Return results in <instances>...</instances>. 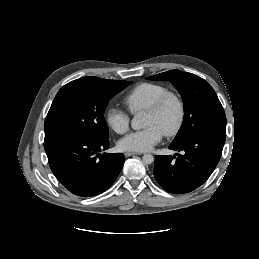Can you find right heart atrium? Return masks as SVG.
Instances as JSON below:
<instances>
[{
	"label": "right heart atrium",
	"mask_w": 259,
	"mask_h": 259,
	"mask_svg": "<svg viewBox=\"0 0 259 259\" xmlns=\"http://www.w3.org/2000/svg\"><path fill=\"white\" fill-rule=\"evenodd\" d=\"M105 119L108 126L117 134H124L129 129V114L117 107L109 108L106 112Z\"/></svg>",
	"instance_id": "right-heart-atrium-1"
}]
</instances>
